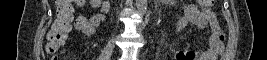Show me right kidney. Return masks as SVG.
Masks as SVG:
<instances>
[{"label": "right kidney", "mask_w": 267, "mask_h": 60, "mask_svg": "<svg viewBox=\"0 0 267 60\" xmlns=\"http://www.w3.org/2000/svg\"><path fill=\"white\" fill-rule=\"evenodd\" d=\"M90 3L93 8H98L101 5V0H91Z\"/></svg>", "instance_id": "ca27d5eb"}]
</instances>
